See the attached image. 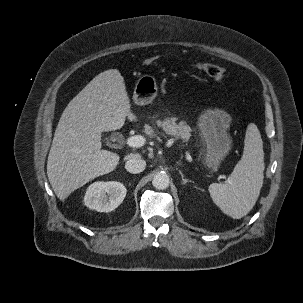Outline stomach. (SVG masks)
<instances>
[{"label": "stomach", "instance_id": "1", "mask_svg": "<svg viewBox=\"0 0 303 303\" xmlns=\"http://www.w3.org/2000/svg\"><path fill=\"white\" fill-rule=\"evenodd\" d=\"M157 91L156 79L144 75L136 82L133 101L139 106L147 105L156 97ZM230 123V115L218 108L205 110L198 119L200 138L205 147L204 163L212 171H217L232 148V139L228 133Z\"/></svg>", "mask_w": 303, "mask_h": 303}]
</instances>
